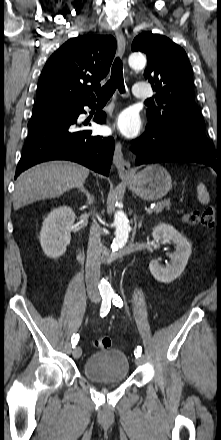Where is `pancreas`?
Returning a JSON list of instances; mask_svg holds the SVG:
<instances>
[{
  "label": "pancreas",
  "instance_id": "1",
  "mask_svg": "<svg viewBox=\"0 0 221 440\" xmlns=\"http://www.w3.org/2000/svg\"><path fill=\"white\" fill-rule=\"evenodd\" d=\"M171 205L170 200H165L160 203H158L155 208H153V211L156 213H160L164 208L169 209Z\"/></svg>",
  "mask_w": 221,
  "mask_h": 440
}]
</instances>
